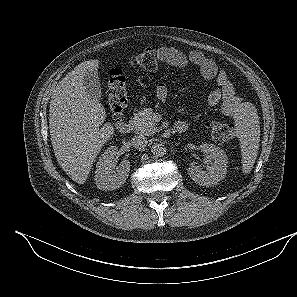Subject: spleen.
Segmentation results:
<instances>
[{
  "instance_id": "spleen-1",
  "label": "spleen",
  "mask_w": 297,
  "mask_h": 297,
  "mask_svg": "<svg viewBox=\"0 0 297 297\" xmlns=\"http://www.w3.org/2000/svg\"><path fill=\"white\" fill-rule=\"evenodd\" d=\"M235 122L242 152V171L248 174L255 163L260 142V125L256 109L242 108V113L236 116Z\"/></svg>"
}]
</instances>
